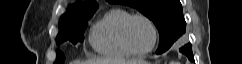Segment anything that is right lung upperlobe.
<instances>
[{
  "label": "right lung upper lobe",
  "mask_w": 242,
  "mask_h": 64,
  "mask_svg": "<svg viewBox=\"0 0 242 64\" xmlns=\"http://www.w3.org/2000/svg\"><path fill=\"white\" fill-rule=\"evenodd\" d=\"M98 6L99 5L95 0L77 2L69 7L67 12L61 16L60 24H66L79 20L83 16L95 12Z\"/></svg>",
  "instance_id": "cb5924a9"
}]
</instances>
